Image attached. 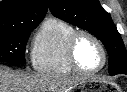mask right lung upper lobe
Segmentation results:
<instances>
[{
	"label": "right lung upper lobe",
	"mask_w": 127,
	"mask_h": 92,
	"mask_svg": "<svg viewBox=\"0 0 127 92\" xmlns=\"http://www.w3.org/2000/svg\"><path fill=\"white\" fill-rule=\"evenodd\" d=\"M47 10V0H3L0 2V31L36 26Z\"/></svg>",
	"instance_id": "cb5924a9"
}]
</instances>
